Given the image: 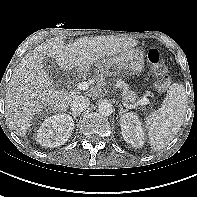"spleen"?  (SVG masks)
<instances>
[{"mask_svg": "<svg viewBox=\"0 0 197 197\" xmlns=\"http://www.w3.org/2000/svg\"><path fill=\"white\" fill-rule=\"evenodd\" d=\"M187 96L183 84L173 83L162 106L146 118L145 128L152 150L165 148L178 133L186 113Z\"/></svg>", "mask_w": 197, "mask_h": 197, "instance_id": "spleen-1", "label": "spleen"}]
</instances>
